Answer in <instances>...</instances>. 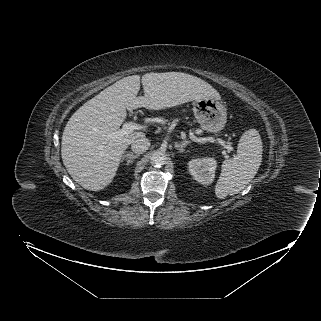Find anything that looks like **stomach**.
<instances>
[{
  "instance_id": "obj_1",
  "label": "stomach",
  "mask_w": 321,
  "mask_h": 321,
  "mask_svg": "<svg viewBox=\"0 0 321 321\" xmlns=\"http://www.w3.org/2000/svg\"><path fill=\"white\" fill-rule=\"evenodd\" d=\"M193 106L194 115L204 130L217 133L224 128L227 121V111L219 99L195 100Z\"/></svg>"
}]
</instances>
